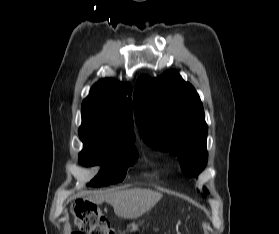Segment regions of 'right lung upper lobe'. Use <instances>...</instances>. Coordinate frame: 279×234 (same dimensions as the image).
Masks as SVG:
<instances>
[{"mask_svg": "<svg viewBox=\"0 0 279 234\" xmlns=\"http://www.w3.org/2000/svg\"><path fill=\"white\" fill-rule=\"evenodd\" d=\"M130 83L103 79L96 83L81 107L79 130L99 141H134Z\"/></svg>", "mask_w": 279, "mask_h": 234, "instance_id": "1", "label": "right lung upper lobe"}]
</instances>
